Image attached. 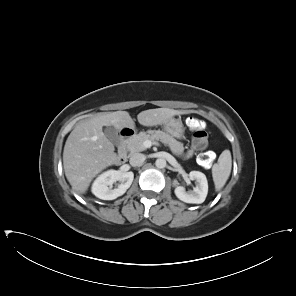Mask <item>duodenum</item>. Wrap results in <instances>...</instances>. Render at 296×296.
Listing matches in <instances>:
<instances>
[{
  "mask_svg": "<svg viewBox=\"0 0 296 296\" xmlns=\"http://www.w3.org/2000/svg\"><path fill=\"white\" fill-rule=\"evenodd\" d=\"M122 153L127 154L130 146L135 140V131L128 129L122 133Z\"/></svg>",
  "mask_w": 296,
  "mask_h": 296,
  "instance_id": "duodenum-1",
  "label": "duodenum"
}]
</instances>
